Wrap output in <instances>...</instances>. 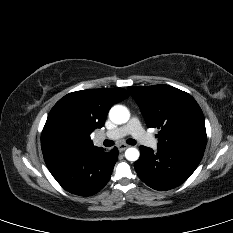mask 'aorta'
<instances>
[{
	"mask_svg": "<svg viewBox=\"0 0 233 233\" xmlns=\"http://www.w3.org/2000/svg\"><path fill=\"white\" fill-rule=\"evenodd\" d=\"M109 117L115 124H123L129 120L130 112L125 106L115 105L110 109ZM139 156V151L134 147L128 148L125 151V157L129 161H136L139 159Z\"/></svg>",
	"mask_w": 233,
	"mask_h": 233,
	"instance_id": "aorta-1",
	"label": "aorta"
}]
</instances>
